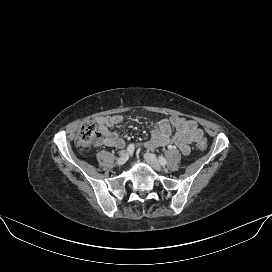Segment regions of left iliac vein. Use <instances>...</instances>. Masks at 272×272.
<instances>
[{
  "label": "left iliac vein",
  "mask_w": 272,
  "mask_h": 272,
  "mask_svg": "<svg viewBox=\"0 0 272 272\" xmlns=\"http://www.w3.org/2000/svg\"><path fill=\"white\" fill-rule=\"evenodd\" d=\"M144 159L145 161L155 170L161 171L162 166L159 164L157 158L155 157L154 154L151 153H145L144 154Z\"/></svg>",
  "instance_id": "obj_1"
}]
</instances>
